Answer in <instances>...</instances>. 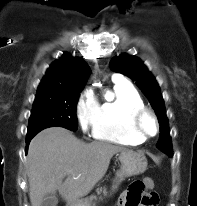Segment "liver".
Instances as JSON below:
<instances>
[{"instance_id": "obj_1", "label": "liver", "mask_w": 197, "mask_h": 206, "mask_svg": "<svg viewBox=\"0 0 197 206\" xmlns=\"http://www.w3.org/2000/svg\"><path fill=\"white\" fill-rule=\"evenodd\" d=\"M122 151L129 150L102 141L85 143L61 127L44 129L32 139L27 154L31 205L41 206L44 197L56 191L69 204L79 201Z\"/></svg>"}]
</instances>
